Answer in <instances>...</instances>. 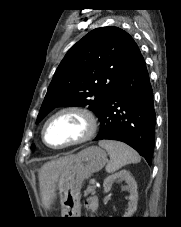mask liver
I'll return each instance as SVG.
<instances>
[{"instance_id":"1","label":"liver","mask_w":181,"mask_h":227,"mask_svg":"<svg viewBox=\"0 0 181 227\" xmlns=\"http://www.w3.org/2000/svg\"><path fill=\"white\" fill-rule=\"evenodd\" d=\"M76 155L70 154L57 160L45 163L38 173L42 202L49 207L56 198V188L61 172L70 164Z\"/></svg>"}]
</instances>
